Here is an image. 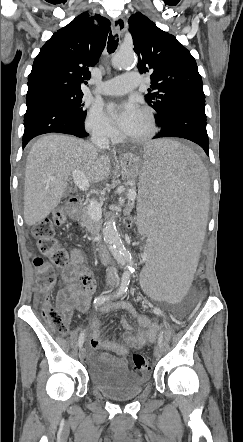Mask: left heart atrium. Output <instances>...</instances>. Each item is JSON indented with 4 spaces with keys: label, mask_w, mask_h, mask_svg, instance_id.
<instances>
[{
    "label": "left heart atrium",
    "mask_w": 243,
    "mask_h": 442,
    "mask_svg": "<svg viewBox=\"0 0 243 442\" xmlns=\"http://www.w3.org/2000/svg\"><path fill=\"white\" fill-rule=\"evenodd\" d=\"M108 112L114 118L115 124L123 132H128L137 120L141 110L133 101H129L122 106L110 104Z\"/></svg>",
    "instance_id": "obj_1"
}]
</instances>
